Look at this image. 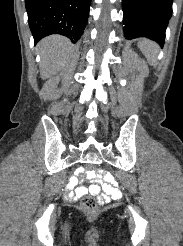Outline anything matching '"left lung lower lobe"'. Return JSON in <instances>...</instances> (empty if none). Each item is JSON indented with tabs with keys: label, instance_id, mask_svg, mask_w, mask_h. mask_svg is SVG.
I'll use <instances>...</instances> for the list:
<instances>
[{
	"label": "left lung lower lobe",
	"instance_id": "left-lung-lower-lobe-1",
	"mask_svg": "<svg viewBox=\"0 0 183 246\" xmlns=\"http://www.w3.org/2000/svg\"><path fill=\"white\" fill-rule=\"evenodd\" d=\"M173 0H122L125 38L146 37L161 47Z\"/></svg>",
	"mask_w": 183,
	"mask_h": 246
}]
</instances>
